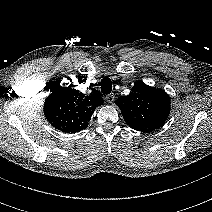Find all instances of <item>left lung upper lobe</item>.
<instances>
[{"instance_id":"1","label":"left lung upper lobe","mask_w":212,"mask_h":212,"mask_svg":"<svg viewBox=\"0 0 212 212\" xmlns=\"http://www.w3.org/2000/svg\"><path fill=\"white\" fill-rule=\"evenodd\" d=\"M117 106L132 129L149 133L164 125L170 112V98L161 89L136 84L129 95L118 98Z\"/></svg>"}]
</instances>
